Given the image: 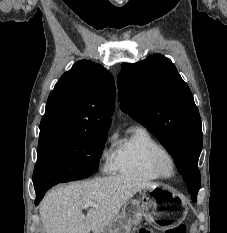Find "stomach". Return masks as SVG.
<instances>
[{"label":"stomach","instance_id":"stomach-1","mask_svg":"<svg viewBox=\"0 0 227 233\" xmlns=\"http://www.w3.org/2000/svg\"><path fill=\"white\" fill-rule=\"evenodd\" d=\"M188 212L181 195L164 186L146 188L141 200L133 199L125 204L100 233H130L131 227L144 217L161 230H170L180 224Z\"/></svg>","mask_w":227,"mask_h":233}]
</instances>
